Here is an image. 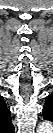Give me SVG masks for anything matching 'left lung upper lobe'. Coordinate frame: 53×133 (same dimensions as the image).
I'll return each mask as SVG.
<instances>
[{
    "label": "left lung upper lobe",
    "instance_id": "5c2ea615",
    "mask_svg": "<svg viewBox=\"0 0 53 133\" xmlns=\"http://www.w3.org/2000/svg\"><path fill=\"white\" fill-rule=\"evenodd\" d=\"M43 116H44V119H51L52 120V116H53V99L51 96H48L46 98V101H45V105H44V108H43Z\"/></svg>",
    "mask_w": 53,
    "mask_h": 133
}]
</instances>
